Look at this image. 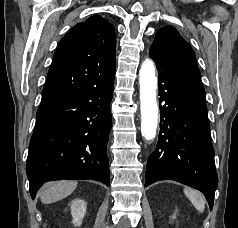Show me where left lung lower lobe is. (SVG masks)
Wrapping results in <instances>:
<instances>
[{"label": "left lung lower lobe", "mask_w": 238, "mask_h": 228, "mask_svg": "<svg viewBox=\"0 0 238 228\" xmlns=\"http://www.w3.org/2000/svg\"><path fill=\"white\" fill-rule=\"evenodd\" d=\"M158 69L160 132L146 170L148 185L174 180L200 190L213 207L218 176L205 102L197 81L153 58Z\"/></svg>", "instance_id": "1"}]
</instances>
